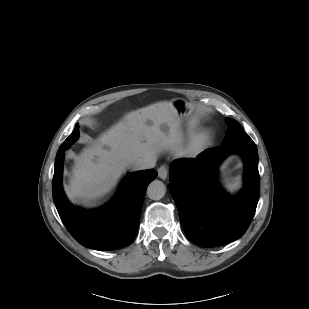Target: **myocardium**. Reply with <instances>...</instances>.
<instances>
[{
    "label": "myocardium",
    "mask_w": 309,
    "mask_h": 309,
    "mask_svg": "<svg viewBox=\"0 0 309 309\" xmlns=\"http://www.w3.org/2000/svg\"><path fill=\"white\" fill-rule=\"evenodd\" d=\"M212 137L210 129H204L195 133L186 148V155L189 157H196L200 155L209 144Z\"/></svg>",
    "instance_id": "obj_1"
}]
</instances>
